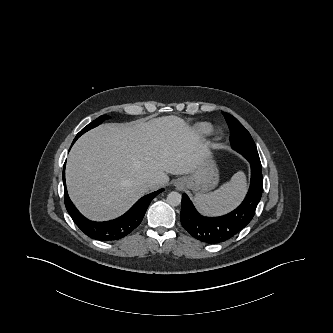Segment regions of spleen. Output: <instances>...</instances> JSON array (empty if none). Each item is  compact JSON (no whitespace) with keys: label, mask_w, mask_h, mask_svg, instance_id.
<instances>
[{"label":"spleen","mask_w":333,"mask_h":333,"mask_svg":"<svg viewBox=\"0 0 333 333\" xmlns=\"http://www.w3.org/2000/svg\"><path fill=\"white\" fill-rule=\"evenodd\" d=\"M246 191V179L243 172L235 173L231 180L214 192L195 196L194 201L204 214L217 215L230 211L243 198Z\"/></svg>","instance_id":"3e777b00"}]
</instances>
